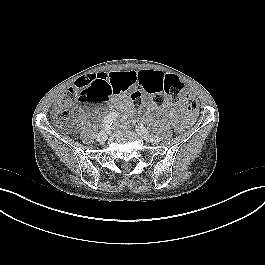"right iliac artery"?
Masks as SVG:
<instances>
[{"label":"right iliac artery","mask_w":265,"mask_h":265,"mask_svg":"<svg viewBox=\"0 0 265 265\" xmlns=\"http://www.w3.org/2000/svg\"><path fill=\"white\" fill-rule=\"evenodd\" d=\"M117 117H118V114L116 112L110 113L104 118L101 127L107 130L112 125L113 121L117 119Z\"/></svg>","instance_id":"obj_1"}]
</instances>
